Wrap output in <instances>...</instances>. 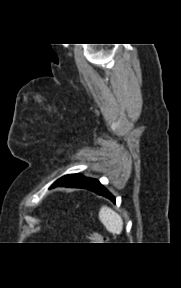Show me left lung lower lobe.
<instances>
[{
	"mask_svg": "<svg viewBox=\"0 0 181 288\" xmlns=\"http://www.w3.org/2000/svg\"><path fill=\"white\" fill-rule=\"evenodd\" d=\"M56 186H66V187H76V188H84L90 191L95 192L98 195H102L108 199H110L112 202L115 203V197L107 191V189H105L103 187V185L96 179H92V178H85L84 180L73 184V185H60L59 183L55 182L51 188L56 187Z\"/></svg>",
	"mask_w": 181,
	"mask_h": 288,
	"instance_id": "1",
	"label": "left lung lower lobe"
}]
</instances>
